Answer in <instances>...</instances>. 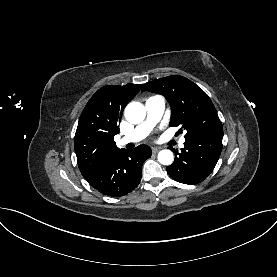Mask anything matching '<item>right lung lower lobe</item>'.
<instances>
[{
    "instance_id": "obj_1",
    "label": "right lung lower lobe",
    "mask_w": 277,
    "mask_h": 277,
    "mask_svg": "<svg viewBox=\"0 0 277 277\" xmlns=\"http://www.w3.org/2000/svg\"><path fill=\"white\" fill-rule=\"evenodd\" d=\"M150 156L151 149L147 145H140L133 150L121 149L84 178L104 195H126L140 183L142 164Z\"/></svg>"
}]
</instances>
